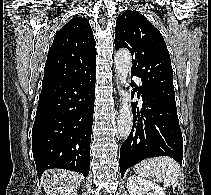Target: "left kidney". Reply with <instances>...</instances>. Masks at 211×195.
<instances>
[{
    "instance_id": "left-kidney-1",
    "label": "left kidney",
    "mask_w": 211,
    "mask_h": 195,
    "mask_svg": "<svg viewBox=\"0 0 211 195\" xmlns=\"http://www.w3.org/2000/svg\"><path fill=\"white\" fill-rule=\"evenodd\" d=\"M127 189L129 195H165L163 189L158 184L136 175L128 177Z\"/></svg>"
}]
</instances>
